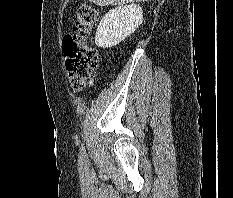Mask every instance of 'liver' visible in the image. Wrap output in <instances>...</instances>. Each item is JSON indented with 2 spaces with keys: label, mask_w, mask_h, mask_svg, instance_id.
I'll use <instances>...</instances> for the list:
<instances>
[{
  "label": "liver",
  "mask_w": 233,
  "mask_h": 198,
  "mask_svg": "<svg viewBox=\"0 0 233 198\" xmlns=\"http://www.w3.org/2000/svg\"><path fill=\"white\" fill-rule=\"evenodd\" d=\"M151 0H89V2L94 3L98 6H114V5H120L123 6L126 3H132V2H149Z\"/></svg>",
  "instance_id": "1"
}]
</instances>
